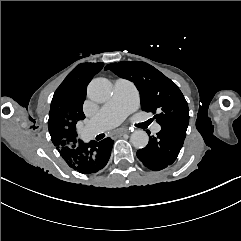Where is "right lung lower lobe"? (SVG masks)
<instances>
[{
	"label": "right lung lower lobe",
	"mask_w": 241,
	"mask_h": 241,
	"mask_svg": "<svg viewBox=\"0 0 241 241\" xmlns=\"http://www.w3.org/2000/svg\"><path fill=\"white\" fill-rule=\"evenodd\" d=\"M113 142L109 137L100 142L84 143L77 140L57 149L71 168L80 173L91 174L105 167L111 155Z\"/></svg>",
	"instance_id": "obj_1"
}]
</instances>
